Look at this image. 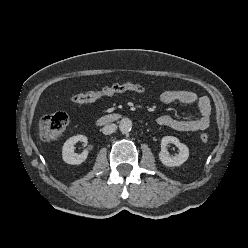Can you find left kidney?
Here are the masks:
<instances>
[{"label":"left kidney","mask_w":248,"mask_h":248,"mask_svg":"<svg viewBox=\"0 0 248 248\" xmlns=\"http://www.w3.org/2000/svg\"><path fill=\"white\" fill-rule=\"evenodd\" d=\"M169 143H173L179 149V154L172 157L169 156V153L166 149ZM188 156V147L185 144L181 143L178 138L173 136H165L162 138L159 159L163 165L168 167L180 166L188 159Z\"/></svg>","instance_id":"5707ae66"}]
</instances>
